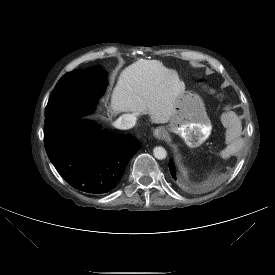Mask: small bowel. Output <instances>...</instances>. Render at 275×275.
Segmentation results:
<instances>
[{"label":"small bowel","instance_id":"1","mask_svg":"<svg viewBox=\"0 0 275 275\" xmlns=\"http://www.w3.org/2000/svg\"><path fill=\"white\" fill-rule=\"evenodd\" d=\"M223 123L227 127L228 146L220 152V155L226 159L241 149V141H236L237 135L241 132V123L233 112H227L223 115Z\"/></svg>","mask_w":275,"mask_h":275}]
</instances>
